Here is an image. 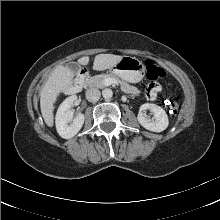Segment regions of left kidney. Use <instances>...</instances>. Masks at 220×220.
<instances>
[{
    "label": "left kidney",
    "instance_id": "1",
    "mask_svg": "<svg viewBox=\"0 0 220 220\" xmlns=\"http://www.w3.org/2000/svg\"><path fill=\"white\" fill-rule=\"evenodd\" d=\"M146 110H150L153 113L154 119L151 120L145 116ZM137 119L141 126L153 132H162L169 124L165 110L162 107L151 103H145L140 106Z\"/></svg>",
    "mask_w": 220,
    "mask_h": 220
}]
</instances>
